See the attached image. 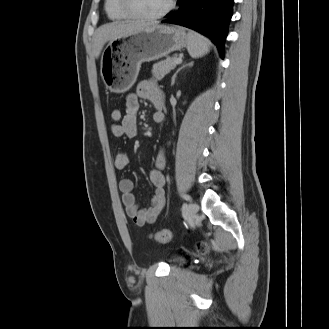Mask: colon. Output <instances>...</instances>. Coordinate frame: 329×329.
<instances>
[{"label": "colon", "instance_id": "obj_1", "mask_svg": "<svg viewBox=\"0 0 329 329\" xmlns=\"http://www.w3.org/2000/svg\"><path fill=\"white\" fill-rule=\"evenodd\" d=\"M111 119L113 123L117 124L122 119V112L119 108H114L111 111ZM173 237V232L170 229H161L154 233L153 238L161 243L169 242ZM197 251L204 254L208 251V247L205 242L199 241L196 244Z\"/></svg>", "mask_w": 329, "mask_h": 329}]
</instances>
